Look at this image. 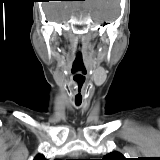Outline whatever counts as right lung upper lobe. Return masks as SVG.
Returning <instances> with one entry per match:
<instances>
[{"instance_id":"obj_1","label":"right lung upper lobe","mask_w":160,"mask_h":160,"mask_svg":"<svg viewBox=\"0 0 160 160\" xmlns=\"http://www.w3.org/2000/svg\"><path fill=\"white\" fill-rule=\"evenodd\" d=\"M34 160H46V158L43 155L38 154V155H36V157L34 158Z\"/></svg>"}]
</instances>
